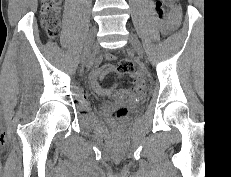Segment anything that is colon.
Listing matches in <instances>:
<instances>
[{"mask_svg":"<svg viewBox=\"0 0 231 177\" xmlns=\"http://www.w3.org/2000/svg\"><path fill=\"white\" fill-rule=\"evenodd\" d=\"M166 3H173L174 0H163ZM60 3L61 0H41V24L42 27L50 38H55L58 34L60 27ZM158 15L162 20H165L166 16L162 9L161 2L157 4ZM117 70L120 73H130L133 71V64L128 59H121L118 62ZM127 109L125 107H119L113 112L115 119H122L126 116Z\"/></svg>","mask_w":231,"mask_h":177,"instance_id":"colon-1","label":"colon"}]
</instances>
